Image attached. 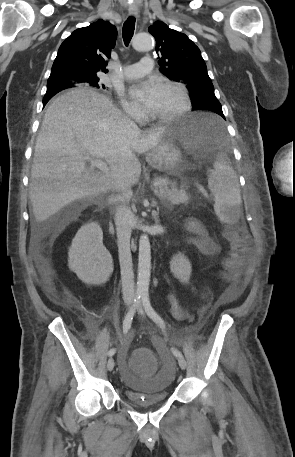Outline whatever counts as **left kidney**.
I'll return each mask as SVG.
<instances>
[{"instance_id":"5707ae66","label":"left kidney","mask_w":295,"mask_h":457,"mask_svg":"<svg viewBox=\"0 0 295 457\" xmlns=\"http://www.w3.org/2000/svg\"><path fill=\"white\" fill-rule=\"evenodd\" d=\"M170 270L174 277L179 279L180 282L187 283L191 275V264L189 260L181 253L173 256L170 261Z\"/></svg>"}]
</instances>
